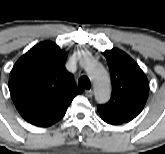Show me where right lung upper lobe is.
<instances>
[{
  "label": "right lung upper lobe",
  "mask_w": 165,
  "mask_h": 154,
  "mask_svg": "<svg viewBox=\"0 0 165 154\" xmlns=\"http://www.w3.org/2000/svg\"><path fill=\"white\" fill-rule=\"evenodd\" d=\"M67 55L55 43L41 42L13 66L9 76L11 98L25 120L73 100L82 93L66 71Z\"/></svg>",
  "instance_id": "right-lung-upper-lobe-1"
}]
</instances>
